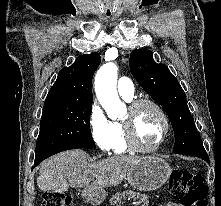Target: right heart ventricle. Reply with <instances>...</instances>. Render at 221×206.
Returning <instances> with one entry per match:
<instances>
[{"mask_svg":"<svg viewBox=\"0 0 221 206\" xmlns=\"http://www.w3.org/2000/svg\"><path fill=\"white\" fill-rule=\"evenodd\" d=\"M126 100V99H125ZM129 101V100H126ZM113 140H112V151L115 154H122L130 150L126 137L124 128L121 122H113Z\"/></svg>","mask_w":221,"mask_h":206,"instance_id":"e07e8e85","label":"right heart ventricle"}]
</instances>
